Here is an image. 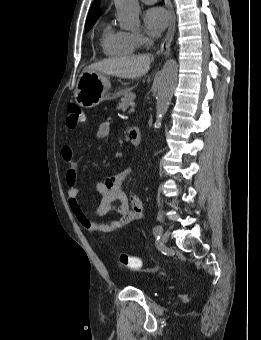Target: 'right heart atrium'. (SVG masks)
<instances>
[{
    "label": "right heart atrium",
    "mask_w": 261,
    "mask_h": 340,
    "mask_svg": "<svg viewBox=\"0 0 261 340\" xmlns=\"http://www.w3.org/2000/svg\"><path fill=\"white\" fill-rule=\"evenodd\" d=\"M138 46H142L146 43V38L143 34L136 32L132 34Z\"/></svg>",
    "instance_id": "obj_1"
}]
</instances>
